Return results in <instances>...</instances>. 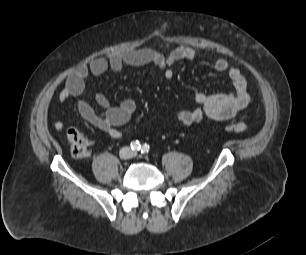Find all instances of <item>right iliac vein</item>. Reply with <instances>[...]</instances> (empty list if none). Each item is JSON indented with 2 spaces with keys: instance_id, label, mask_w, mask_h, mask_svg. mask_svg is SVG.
<instances>
[{
  "instance_id": "obj_1",
  "label": "right iliac vein",
  "mask_w": 306,
  "mask_h": 255,
  "mask_svg": "<svg viewBox=\"0 0 306 255\" xmlns=\"http://www.w3.org/2000/svg\"><path fill=\"white\" fill-rule=\"evenodd\" d=\"M121 155H122V157L127 158L129 156V151L124 150Z\"/></svg>"
}]
</instances>
